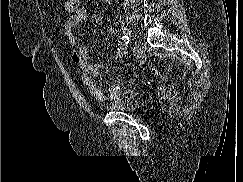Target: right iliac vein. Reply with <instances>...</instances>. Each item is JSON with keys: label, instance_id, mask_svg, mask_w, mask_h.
Masks as SVG:
<instances>
[{"label": "right iliac vein", "instance_id": "63e3f726", "mask_svg": "<svg viewBox=\"0 0 243 182\" xmlns=\"http://www.w3.org/2000/svg\"><path fill=\"white\" fill-rule=\"evenodd\" d=\"M121 29L123 31V34H125L128 37H133L132 31L127 26H125L124 24L121 25Z\"/></svg>", "mask_w": 243, "mask_h": 182}]
</instances>
